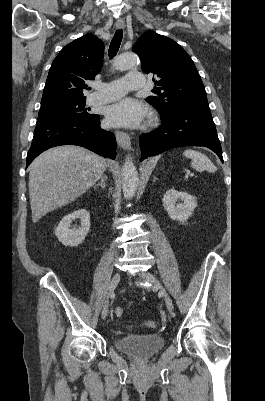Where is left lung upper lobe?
Instances as JSON below:
<instances>
[{
    "mask_svg": "<svg viewBox=\"0 0 265 401\" xmlns=\"http://www.w3.org/2000/svg\"><path fill=\"white\" fill-rule=\"evenodd\" d=\"M132 51L141 57L142 70L158 77L152 90L158 96H149L146 101L161 115L187 107L209 108L193 60L174 40L149 30L137 40Z\"/></svg>",
    "mask_w": 265,
    "mask_h": 401,
    "instance_id": "5c2ea615",
    "label": "left lung upper lobe"
}]
</instances>
